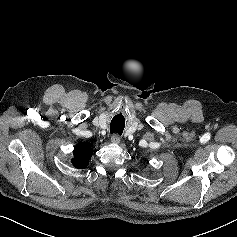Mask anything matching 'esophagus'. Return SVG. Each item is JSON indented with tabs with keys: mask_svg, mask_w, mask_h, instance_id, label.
I'll use <instances>...</instances> for the list:
<instances>
[{
	"mask_svg": "<svg viewBox=\"0 0 237 237\" xmlns=\"http://www.w3.org/2000/svg\"><path fill=\"white\" fill-rule=\"evenodd\" d=\"M111 142L115 144L120 143V136L118 134H113L111 136Z\"/></svg>",
	"mask_w": 237,
	"mask_h": 237,
	"instance_id": "34e87169",
	"label": "esophagus"
}]
</instances>
